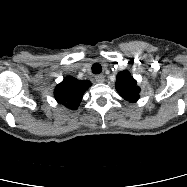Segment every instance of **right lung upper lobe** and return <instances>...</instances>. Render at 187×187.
<instances>
[{
  "label": "right lung upper lobe",
  "instance_id": "1",
  "mask_svg": "<svg viewBox=\"0 0 187 187\" xmlns=\"http://www.w3.org/2000/svg\"><path fill=\"white\" fill-rule=\"evenodd\" d=\"M91 86L88 80H78L72 76H67L58 84L54 91L57 102L69 109H76L85 91Z\"/></svg>",
  "mask_w": 187,
  "mask_h": 187
}]
</instances>
